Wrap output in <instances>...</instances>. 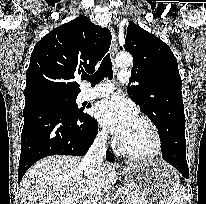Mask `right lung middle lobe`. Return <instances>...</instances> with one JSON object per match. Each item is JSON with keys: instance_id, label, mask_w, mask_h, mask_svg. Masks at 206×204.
<instances>
[{"instance_id": "dd1d6c3e", "label": "right lung middle lobe", "mask_w": 206, "mask_h": 204, "mask_svg": "<svg viewBox=\"0 0 206 204\" xmlns=\"http://www.w3.org/2000/svg\"><path fill=\"white\" fill-rule=\"evenodd\" d=\"M76 98L77 95H61L55 93H44L35 95L29 98H25V106H29L32 104L38 103H47L51 105L59 106L60 108L64 109L66 112L79 115L82 114V110L78 109L76 105Z\"/></svg>"}]
</instances>
